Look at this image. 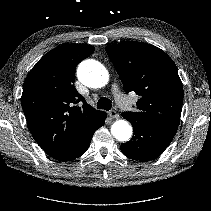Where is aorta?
Listing matches in <instances>:
<instances>
[{
  "instance_id": "obj_1",
  "label": "aorta",
  "mask_w": 211,
  "mask_h": 211,
  "mask_svg": "<svg viewBox=\"0 0 211 211\" xmlns=\"http://www.w3.org/2000/svg\"><path fill=\"white\" fill-rule=\"evenodd\" d=\"M77 76L81 83L88 87L100 88L109 80V74L103 64L96 60L83 61L78 69ZM111 133L120 142H126L131 138L132 127L126 120H118L113 123Z\"/></svg>"
}]
</instances>
